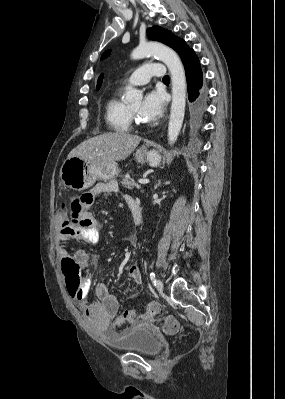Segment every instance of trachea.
<instances>
[{
    "label": "trachea",
    "instance_id": "trachea-1",
    "mask_svg": "<svg viewBox=\"0 0 285 399\" xmlns=\"http://www.w3.org/2000/svg\"><path fill=\"white\" fill-rule=\"evenodd\" d=\"M163 81H169V76L166 75V76L163 78Z\"/></svg>",
    "mask_w": 285,
    "mask_h": 399
}]
</instances>
